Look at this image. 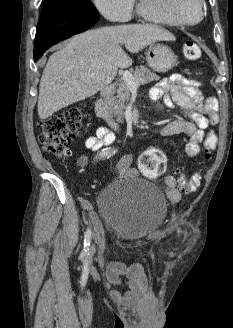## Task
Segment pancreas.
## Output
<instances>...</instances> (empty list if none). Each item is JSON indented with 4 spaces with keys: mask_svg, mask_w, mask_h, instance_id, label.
Listing matches in <instances>:
<instances>
[{
    "mask_svg": "<svg viewBox=\"0 0 233 328\" xmlns=\"http://www.w3.org/2000/svg\"><path fill=\"white\" fill-rule=\"evenodd\" d=\"M134 80H142L141 84L158 81L160 77L145 66H140L131 74ZM130 99L128 85L123 79L117 84L116 95H110L107 100V109L110 115L116 118L119 123L123 122L124 110Z\"/></svg>",
    "mask_w": 233,
    "mask_h": 328,
    "instance_id": "pancreas-1",
    "label": "pancreas"
}]
</instances>
